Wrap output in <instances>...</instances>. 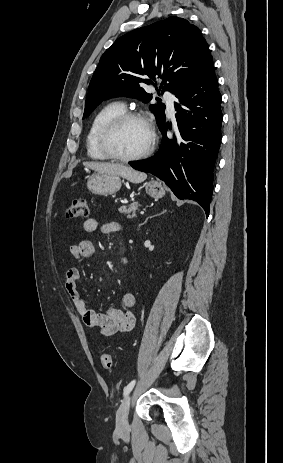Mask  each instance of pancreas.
Segmentation results:
<instances>
[{
  "mask_svg": "<svg viewBox=\"0 0 283 463\" xmlns=\"http://www.w3.org/2000/svg\"><path fill=\"white\" fill-rule=\"evenodd\" d=\"M139 206L140 205L137 202H134L130 204L128 207L122 206L121 208H119V212L127 215V218L129 219L136 218V212L138 211Z\"/></svg>",
  "mask_w": 283,
  "mask_h": 463,
  "instance_id": "pancreas-1",
  "label": "pancreas"
}]
</instances>
